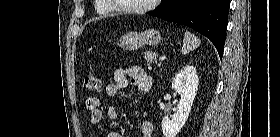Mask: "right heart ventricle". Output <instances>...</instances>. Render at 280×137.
Returning <instances> with one entry per match:
<instances>
[{
	"label": "right heart ventricle",
	"instance_id": "e07e8e85",
	"mask_svg": "<svg viewBox=\"0 0 280 137\" xmlns=\"http://www.w3.org/2000/svg\"><path fill=\"white\" fill-rule=\"evenodd\" d=\"M107 1L105 0H95V8L94 11L99 15V16H107L110 14L111 8L108 6L106 3Z\"/></svg>",
	"mask_w": 280,
	"mask_h": 137
}]
</instances>
